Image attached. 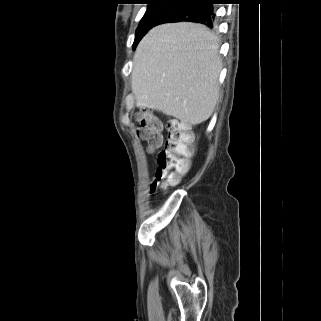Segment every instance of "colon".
I'll list each match as a JSON object with an SVG mask.
<instances>
[{
    "instance_id": "colon-1",
    "label": "colon",
    "mask_w": 321,
    "mask_h": 321,
    "mask_svg": "<svg viewBox=\"0 0 321 321\" xmlns=\"http://www.w3.org/2000/svg\"><path fill=\"white\" fill-rule=\"evenodd\" d=\"M140 127L138 136L150 151L162 143V122L154 115L142 111L136 115ZM168 137L157 158V170L151 184L152 191L167 188L179 182L180 177L190 168L189 158L193 153V136L186 125L170 121L167 125Z\"/></svg>"
}]
</instances>
